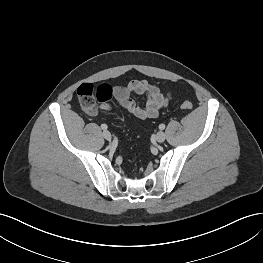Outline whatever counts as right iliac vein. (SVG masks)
<instances>
[{"instance_id": "1", "label": "right iliac vein", "mask_w": 263, "mask_h": 263, "mask_svg": "<svg viewBox=\"0 0 263 263\" xmlns=\"http://www.w3.org/2000/svg\"><path fill=\"white\" fill-rule=\"evenodd\" d=\"M103 137L106 139V140H111L112 138V135L109 131L107 130H104L103 133H102Z\"/></svg>"}]
</instances>
